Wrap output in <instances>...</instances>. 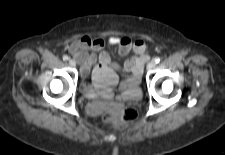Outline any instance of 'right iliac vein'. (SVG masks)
Wrapping results in <instances>:
<instances>
[{
    "mask_svg": "<svg viewBox=\"0 0 225 155\" xmlns=\"http://www.w3.org/2000/svg\"><path fill=\"white\" fill-rule=\"evenodd\" d=\"M69 65L72 66V67H75V66H76L75 60L70 59V60H69Z\"/></svg>",
    "mask_w": 225,
    "mask_h": 155,
    "instance_id": "1",
    "label": "right iliac vein"
}]
</instances>
